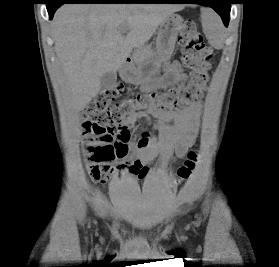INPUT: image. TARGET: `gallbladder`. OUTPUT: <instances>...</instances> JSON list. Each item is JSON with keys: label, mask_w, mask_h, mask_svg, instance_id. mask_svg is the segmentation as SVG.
Here are the masks:
<instances>
[{"label": "gallbladder", "mask_w": 279, "mask_h": 267, "mask_svg": "<svg viewBox=\"0 0 279 267\" xmlns=\"http://www.w3.org/2000/svg\"><path fill=\"white\" fill-rule=\"evenodd\" d=\"M117 81L116 73L113 71H108L104 73L100 80L101 91L111 90L115 87Z\"/></svg>", "instance_id": "bac80fb5"}]
</instances>
